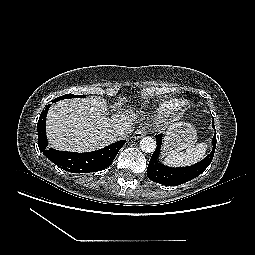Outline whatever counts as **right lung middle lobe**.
Wrapping results in <instances>:
<instances>
[{
	"label": "right lung middle lobe",
	"mask_w": 255,
	"mask_h": 255,
	"mask_svg": "<svg viewBox=\"0 0 255 255\" xmlns=\"http://www.w3.org/2000/svg\"><path fill=\"white\" fill-rule=\"evenodd\" d=\"M85 97H86L85 95L65 94L63 96H60V97L54 99L53 102H56V101H59V100H62V99H68V98H85Z\"/></svg>",
	"instance_id": "right-lung-middle-lobe-1"
}]
</instances>
